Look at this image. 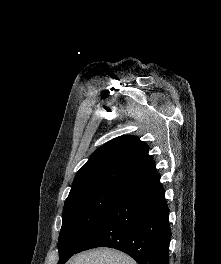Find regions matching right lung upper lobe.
I'll list each match as a JSON object with an SVG mask.
<instances>
[{
	"label": "right lung upper lobe",
	"instance_id": "obj_1",
	"mask_svg": "<svg viewBox=\"0 0 221 264\" xmlns=\"http://www.w3.org/2000/svg\"><path fill=\"white\" fill-rule=\"evenodd\" d=\"M149 147L138 137H117L98 148L77 172L69 195L97 186L129 184L156 172Z\"/></svg>",
	"mask_w": 221,
	"mask_h": 264
}]
</instances>
